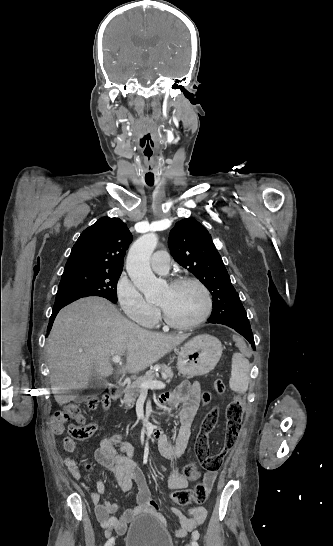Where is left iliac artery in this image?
Returning <instances> with one entry per match:
<instances>
[{
	"label": "left iliac artery",
	"mask_w": 333,
	"mask_h": 546,
	"mask_svg": "<svg viewBox=\"0 0 333 546\" xmlns=\"http://www.w3.org/2000/svg\"><path fill=\"white\" fill-rule=\"evenodd\" d=\"M192 546H199L198 543L196 541H192Z\"/></svg>",
	"instance_id": "left-iliac-artery-1"
}]
</instances>
